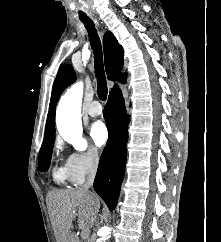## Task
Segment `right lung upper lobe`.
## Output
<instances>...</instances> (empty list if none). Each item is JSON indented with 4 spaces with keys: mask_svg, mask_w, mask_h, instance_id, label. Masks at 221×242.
Listing matches in <instances>:
<instances>
[{
    "mask_svg": "<svg viewBox=\"0 0 221 242\" xmlns=\"http://www.w3.org/2000/svg\"><path fill=\"white\" fill-rule=\"evenodd\" d=\"M105 68L110 80H121L125 75L120 74L123 64V49L111 32H106L103 38ZM76 79L71 65H64L55 79L49 105V113L45 128V137H55V108L63 89L72 84Z\"/></svg>",
    "mask_w": 221,
    "mask_h": 242,
    "instance_id": "cb5924a9",
    "label": "right lung upper lobe"
}]
</instances>
